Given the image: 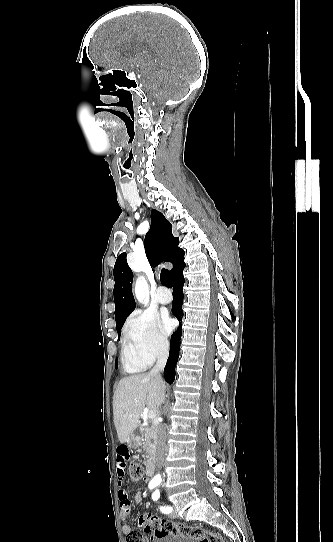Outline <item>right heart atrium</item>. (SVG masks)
<instances>
[{
    "instance_id": "d8ad5b80",
    "label": "right heart atrium",
    "mask_w": 333,
    "mask_h": 542,
    "mask_svg": "<svg viewBox=\"0 0 333 542\" xmlns=\"http://www.w3.org/2000/svg\"><path fill=\"white\" fill-rule=\"evenodd\" d=\"M123 336L126 342L141 348L148 356H164L170 347L169 333L163 323L146 313H135L126 323Z\"/></svg>"
}]
</instances>
